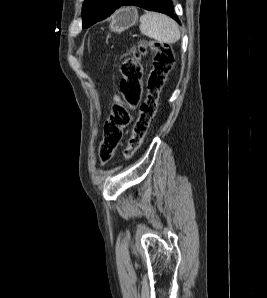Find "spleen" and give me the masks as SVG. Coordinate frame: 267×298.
<instances>
[{
	"label": "spleen",
	"mask_w": 267,
	"mask_h": 298,
	"mask_svg": "<svg viewBox=\"0 0 267 298\" xmlns=\"http://www.w3.org/2000/svg\"><path fill=\"white\" fill-rule=\"evenodd\" d=\"M139 28L143 35L160 43L173 44L181 37L178 24L161 13L146 12L143 14Z\"/></svg>",
	"instance_id": "spleen-1"
}]
</instances>
